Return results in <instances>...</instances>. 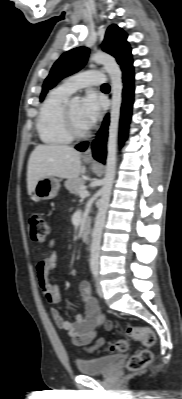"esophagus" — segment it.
<instances>
[{"label": "esophagus", "mask_w": 182, "mask_h": 399, "mask_svg": "<svg viewBox=\"0 0 182 399\" xmlns=\"http://www.w3.org/2000/svg\"><path fill=\"white\" fill-rule=\"evenodd\" d=\"M93 140H94V139H92V140L90 141L89 147L87 148V150H86L85 153H84V156H83V157H84L85 159H91V158H92V148H91V145H92Z\"/></svg>", "instance_id": "obj_1"}]
</instances>
